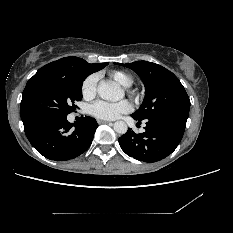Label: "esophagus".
<instances>
[{"label":"esophagus","instance_id":"esophagus-1","mask_svg":"<svg viewBox=\"0 0 233 233\" xmlns=\"http://www.w3.org/2000/svg\"><path fill=\"white\" fill-rule=\"evenodd\" d=\"M98 124H112L110 121L98 120Z\"/></svg>","mask_w":233,"mask_h":233}]
</instances>
